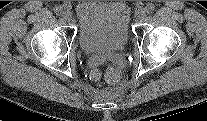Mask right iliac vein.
<instances>
[{"instance_id":"right-iliac-vein-1","label":"right iliac vein","mask_w":207,"mask_h":121,"mask_svg":"<svg viewBox=\"0 0 207 121\" xmlns=\"http://www.w3.org/2000/svg\"><path fill=\"white\" fill-rule=\"evenodd\" d=\"M63 18L67 21H70L72 19V13L69 10H65L63 12Z\"/></svg>"}]
</instances>
